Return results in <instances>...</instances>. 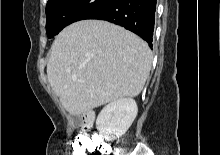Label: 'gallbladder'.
Instances as JSON below:
<instances>
[{
	"label": "gallbladder",
	"instance_id": "bac80fb5",
	"mask_svg": "<svg viewBox=\"0 0 220 155\" xmlns=\"http://www.w3.org/2000/svg\"><path fill=\"white\" fill-rule=\"evenodd\" d=\"M74 123H77V117H74Z\"/></svg>",
	"mask_w": 220,
	"mask_h": 155
}]
</instances>
